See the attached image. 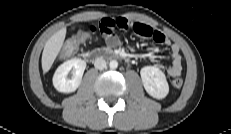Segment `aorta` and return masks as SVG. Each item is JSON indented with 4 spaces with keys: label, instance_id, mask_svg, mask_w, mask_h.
Returning a JSON list of instances; mask_svg holds the SVG:
<instances>
[{
    "label": "aorta",
    "instance_id": "762f6f07",
    "mask_svg": "<svg viewBox=\"0 0 231 134\" xmlns=\"http://www.w3.org/2000/svg\"><path fill=\"white\" fill-rule=\"evenodd\" d=\"M109 67H110L111 69H116V68L118 67V62H117L116 60L110 61Z\"/></svg>",
    "mask_w": 231,
    "mask_h": 134
}]
</instances>
